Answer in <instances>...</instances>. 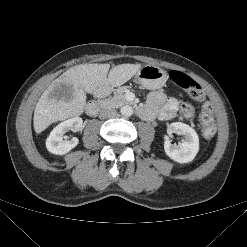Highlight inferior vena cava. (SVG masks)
<instances>
[{"label": "inferior vena cava", "mask_w": 247, "mask_h": 247, "mask_svg": "<svg viewBox=\"0 0 247 247\" xmlns=\"http://www.w3.org/2000/svg\"><path fill=\"white\" fill-rule=\"evenodd\" d=\"M116 110L113 108H104L100 111L99 113V118L100 119H107L114 117L116 115Z\"/></svg>", "instance_id": "inferior-vena-cava-1"}]
</instances>
